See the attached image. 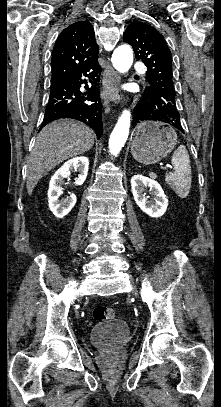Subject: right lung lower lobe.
<instances>
[{
	"label": "right lung lower lobe",
	"mask_w": 221,
	"mask_h": 407,
	"mask_svg": "<svg viewBox=\"0 0 221 407\" xmlns=\"http://www.w3.org/2000/svg\"><path fill=\"white\" fill-rule=\"evenodd\" d=\"M101 71V66L96 60L51 83L49 101L41 128L60 118H72L90 126L100 138L103 132L102 104L99 93ZM88 84L91 87H88ZM82 86L86 92L80 90Z\"/></svg>",
	"instance_id": "1"
}]
</instances>
